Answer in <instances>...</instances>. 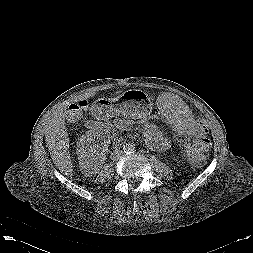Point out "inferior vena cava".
<instances>
[{"instance_id":"1","label":"inferior vena cava","mask_w":253,"mask_h":253,"mask_svg":"<svg viewBox=\"0 0 253 253\" xmlns=\"http://www.w3.org/2000/svg\"><path fill=\"white\" fill-rule=\"evenodd\" d=\"M122 156V152L120 150H115V152L113 153V159H119Z\"/></svg>"}]
</instances>
